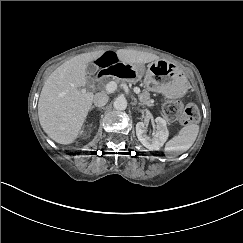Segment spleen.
Here are the masks:
<instances>
[{
	"mask_svg": "<svg viewBox=\"0 0 243 243\" xmlns=\"http://www.w3.org/2000/svg\"><path fill=\"white\" fill-rule=\"evenodd\" d=\"M200 127L197 124L184 126L180 133L166 143L165 153L185 152L192 147L199 134Z\"/></svg>",
	"mask_w": 243,
	"mask_h": 243,
	"instance_id": "1",
	"label": "spleen"
}]
</instances>
